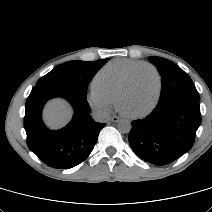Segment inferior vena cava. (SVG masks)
Wrapping results in <instances>:
<instances>
[{"label": "inferior vena cava", "instance_id": "1", "mask_svg": "<svg viewBox=\"0 0 212 212\" xmlns=\"http://www.w3.org/2000/svg\"><path fill=\"white\" fill-rule=\"evenodd\" d=\"M92 117L97 122H106L110 119V114L105 110L95 109L92 112Z\"/></svg>", "mask_w": 212, "mask_h": 212}]
</instances>
